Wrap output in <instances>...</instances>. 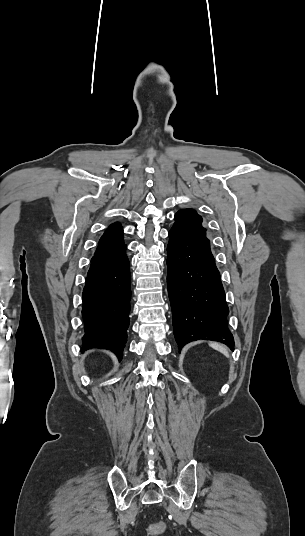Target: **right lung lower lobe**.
Wrapping results in <instances>:
<instances>
[{
  "label": "right lung lower lobe",
  "instance_id": "obj_1",
  "mask_svg": "<svg viewBox=\"0 0 305 536\" xmlns=\"http://www.w3.org/2000/svg\"><path fill=\"white\" fill-rule=\"evenodd\" d=\"M126 245L94 254L83 290V348L110 349L122 359L130 311Z\"/></svg>",
  "mask_w": 305,
  "mask_h": 536
}]
</instances>
